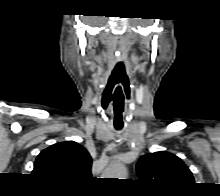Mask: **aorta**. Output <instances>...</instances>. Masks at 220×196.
<instances>
[{"mask_svg":"<svg viewBox=\"0 0 220 196\" xmlns=\"http://www.w3.org/2000/svg\"><path fill=\"white\" fill-rule=\"evenodd\" d=\"M103 176H105V178L125 179L124 177L127 176V170L123 164L114 162L106 169Z\"/></svg>","mask_w":220,"mask_h":196,"instance_id":"1","label":"aorta"}]
</instances>
